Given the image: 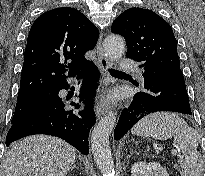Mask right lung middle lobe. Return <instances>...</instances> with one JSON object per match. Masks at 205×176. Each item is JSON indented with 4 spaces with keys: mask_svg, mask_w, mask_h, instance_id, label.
I'll list each match as a JSON object with an SVG mask.
<instances>
[{
    "mask_svg": "<svg viewBox=\"0 0 205 176\" xmlns=\"http://www.w3.org/2000/svg\"><path fill=\"white\" fill-rule=\"evenodd\" d=\"M54 90H48L36 93L34 95L18 98L17 104L15 108V112L13 118L11 120V124L16 123L19 119H21L32 107L38 104L40 101L44 100L47 96H49Z\"/></svg>",
    "mask_w": 205,
    "mask_h": 176,
    "instance_id": "1",
    "label": "right lung middle lobe"
}]
</instances>
